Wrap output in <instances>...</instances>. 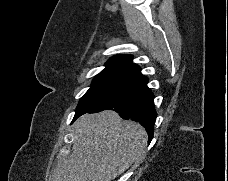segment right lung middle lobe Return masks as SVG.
Instances as JSON below:
<instances>
[{"label": "right lung middle lobe", "instance_id": "dd1d6c3e", "mask_svg": "<svg viewBox=\"0 0 228 181\" xmlns=\"http://www.w3.org/2000/svg\"><path fill=\"white\" fill-rule=\"evenodd\" d=\"M130 82L129 80L117 78L96 77L91 88L80 99L76 115L110 101L122 92Z\"/></svg>", "mask_w": 228, "mask_h": 181}]
</instances>
